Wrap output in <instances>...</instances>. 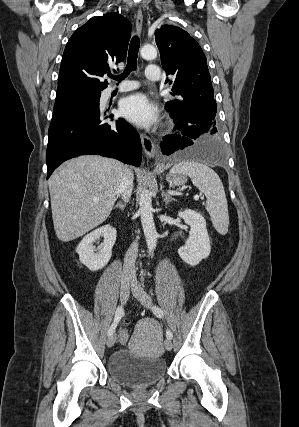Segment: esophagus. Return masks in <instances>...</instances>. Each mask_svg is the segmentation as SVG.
I'll return each mask as SVG.
<instances>
[{
	"label": "esophagus",
	"mask_w": 299,
	"mask_h": 427,
	"mask_svg": "<svg viewBox=\"0 0 299 427\" xmlns=\"http://www.w3.org/2000/svg\"><path fill=\"white\" fill-rule=\"evenodd\" d=\"M135 22H136L137 32L138 34H140L143 27V15L141 10H138L137 13L135 14ZM140 138H141V143L146 156L148 158H154L156 155V147L153 140L149 136L143 133H140Z\"/></svg>",
	"instance_id": "34e87169"
}]
</instances>
